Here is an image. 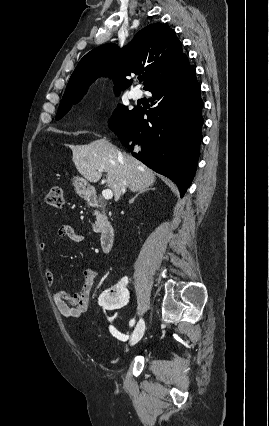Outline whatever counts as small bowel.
<instances>
[{"label":"small bowel","mask_w":269,"mask_h":426,"mask_svg":"<svg viewBox=\"0 0 269 426\" xmlns=\"http://www.w3.org/2000/svg\"><path fill=\"white\" fill-rule=\"evenodd\" d=\"M57 236L59 238H67L76 243H83L87 240L85 235L76 232L70 224L61 225L57 230ZM46 249L47 245L45 243L42 242L39 244V250L41 252L46 251ZM44 274L48 285L54 287L56 284V279L53 271L47 267ZM97 275L98 270L96 268H87L83 272V284L80 291L69 292L55 289L52 292L53 301L61 315L70 320H75L78 319L81 314L88 309L91 290ZM114 333L120 336L117 331H114Z\"/></svg>","instance_id":"obj_1"}]
</instances>
